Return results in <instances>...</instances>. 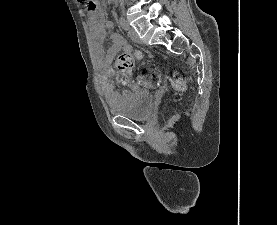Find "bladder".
<instances>
[{"label": "bladder", "instance_id": "bladder-1", "mask_svg": "<svg viewBox=\"0 0 277 225\" xmlns=\"http://www.w3.org/2000/svg\"><path fill=\"white\" fill-rule=\"evenodd\" d=\"M153 95L144 89L125 91L111 105L110 112L114 115L125 116L132 120H145L153 110Z\"/></svg>", "mask_w": 277, "mask_h": 225}]
</instances>
